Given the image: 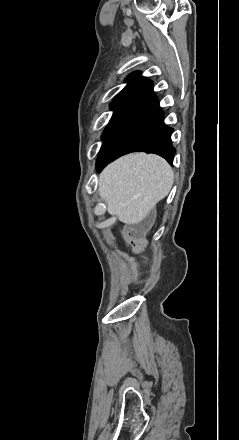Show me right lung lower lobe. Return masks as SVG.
Returning a JSON list of instances; mask_svg holds the SVG:
<instances>
[{
    "mask_svg": "<svg viewBox=\"0 0 239 440\" xmlns=\"http://www.w3.org/2000/svg\"><path fill=\"white\" fill-rule=\"evenodd\" d=\"M163 114L153 92L131 101L106 139L99 152L96 168L100 172L121 155L144 151L155 153L173 162L172 128L163 121Z\"/></svg>",
    "mask_w": 239,
    "mask_h": 440,
    "instance_id": "obj_1",
    "label": "right lung lower lobe"
}]
</instances>
